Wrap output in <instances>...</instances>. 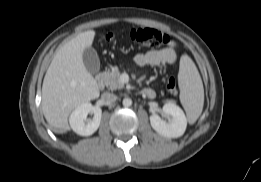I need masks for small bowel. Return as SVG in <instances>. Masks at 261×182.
<instances>
[{
    "label": "small bowel",
    "mask_w": 261,
    "mask_h": 182,
    "mask_svg": "<svg viewBox=\"0 0 261 182\" xmlns=\"http://www.w3.org/2000/svg\"><path fill=\"white\" fill-rule=\"evenodd\" d=\"M178 55L174 42L159 50H150L138 53L134 61L139 66H158L162 64H174L177 62Z\"/></svg>",
    "instance_id": "1"
}]
</instances>
